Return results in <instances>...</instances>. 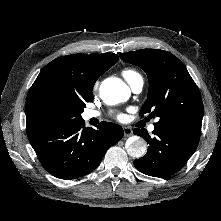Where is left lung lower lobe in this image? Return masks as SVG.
<instances>
[{
  "label": "left lung lower lobe",
  "mask_w": 221,
  "mask_h": 221,
  "mask_svg": "<svg viewBox=\"0 0 221 221\" xmlns=\"http://www.w3.org/2000/svg\"><path fill=\"white\" fill-rule=\"evenodd\" d=\"M149 144L147 153L134 160V166L142 173L154 177H167L178 172L195 152L199 139L155 127L150 137L147 130L133 131Z\"/></svg>",
  "instance_id": "left-lung-lower-lobe-1"
}]
</instances>
